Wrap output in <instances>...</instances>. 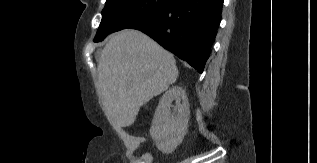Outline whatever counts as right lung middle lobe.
I'll return each mask as SVG.
<instances>
[{
  "label": "right lung middle lobe",
  "instance_id": "obj_1",
  "mask_svg": "<svg viewBox=\"0 0 317 163\" xmlns=\"http://www.w3.org/2000/svg\"><path fill=\"white\" fill-rule=\"evenodd\" d=\"M170 0H106L102 20L94 38L102 41L108 34L129 28L158 10Z\"/></svg>",
  "mask_w": 317,
  "mask_h": 163
}]
</instances>
